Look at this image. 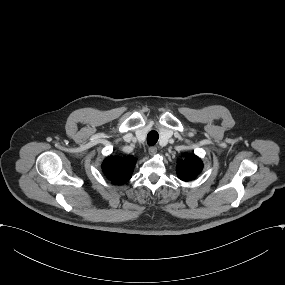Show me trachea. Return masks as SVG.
I'll list each match as a JSON object with an SVG mask.
<instances>
[{
	"label": "trachea",
	"instance_id": "3493384b",
	"mask_svg": "<svg viewBox=\"0 0 285 285\" xmlns=\"http://www.w3.org/2000/svg\"><path fill=\"white\" fill-rule=\"evenodd\" d=\"M159 139V135L156 131H150L147 135V144L149 146H154Z\"/></svg>",
	"mask_w": 285,
	"mask_h": 285
}]
</instances>
